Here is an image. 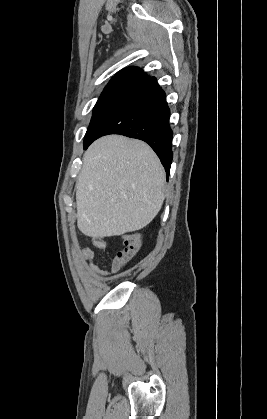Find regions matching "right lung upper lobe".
Wrapping results in <instances>:
<instances>
[{
	"instance_id": "obj_1",
	"label": "right lung upper lobe",
	"mask_w": 267,
	"mask_h": 419,
	"mask_svg": "<svg viewBox=\"0 0 267 419\" xmlns=\"http://www.w3.org/2000/svg\"><path fill=\"white\" fill-rule=\"evenodd\" d=\"M151 77L137 67H129L118 72L104 88L103 93H130Z\"/></svg>"
}]
</instances>
